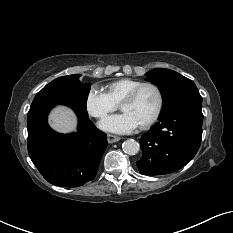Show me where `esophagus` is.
<instances>
[{
    "label": "esophagus",
    "instance_id": "esophagus-1",
    "mask_svg": "<svg viewBox=\"0 0 233 233\" xmlns=\"http://www.w3.org/2000/svg\"><path fill=\"white\" fill-rule=\"evenodd\" d=\"M121 138L119 136L113 135V134H108V142L109 143H115L118 142Z\"/></svg>",
    "mask_w": 233,
    "mask_h": 233
}]
</instances>
